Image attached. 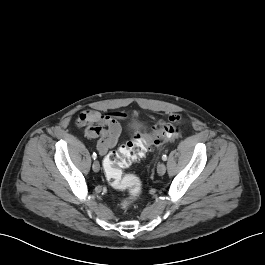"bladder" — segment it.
<instances>
[{
    "label": "bladder",
    "mask_w": 265,
    "mask_h": 265,
    "mask_svg": "<svg viewBox=\"0 0 265 265\" xmlns=\"http://www.w3.org/2000/svg\"><path fill=\"white\" fill-rule=\"evenodd\" d=\"M139 129H140V126L138 124H134L131 126L129 131H130V133L134 134V133H137L139 131Z\"/></svg>",
    "instance_id": "bladder-1"
}]
</instances>
